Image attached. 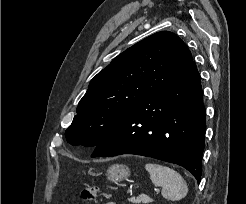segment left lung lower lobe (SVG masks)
<instances>
[{
  "label": "left lung lower lobe",
  "instance_id": "obj_1",
  "mask_svg": "<svg viewBox=\"0 0 246 204\" xmlns=\"http://www.w3.org/2000/svg\"><path fill=\"white\" fill-rule=\"evenodd\" d=\"M205 116L200 75L191 61L120 120L91 157H152L184 167L199 183Z\"/></svg>",
  "mask_w": 246,
  "mask_h": 204
}]
</instances>
